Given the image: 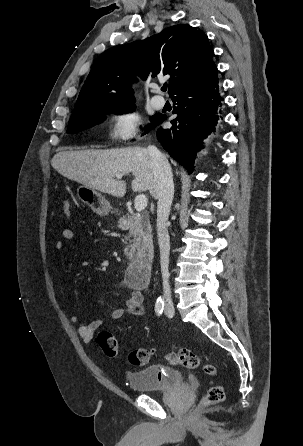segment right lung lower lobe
<instances>
[{"instance_id": "1", "label": "right lung lower lobe", "mask_w": 303, "mask_h": 446, "mask_svg": "<svg viewBox=\"0 0 303 446\" xmlns=\"http://www.w3.org/2000/svg\"><path fill=\"white\" fill-rule=\"evenodd\" d=\"M171 99L178 105L173 110L177 117L171 121V128L157 130V139L171 157L191 173L196 149L215 130L221 113L223 98L220 95L218 76L182 89ZM165 119L166 116L160 114L156 126Z\"/></svg>"}]
</instances>
